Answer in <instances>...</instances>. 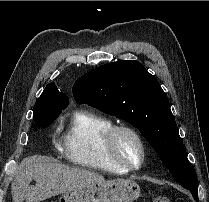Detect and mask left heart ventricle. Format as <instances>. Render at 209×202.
I'll use <instances>...</instances> for the list:
<instances>
[{"label": "left heart ventricle", "mask_w": 209, "mask_h": 202, "mask_svg": "<svg viewBox=\"0 0 209 202\" xmlns=\"http://www.w3.org/2000/svg\"><path fill=\"white\" fill-rule=\"evenodd\" d=\"M116 150L125 160L132 163H138L141 157V151L138 142L133 136L127 133H121L116 139Z\"/></svg>", "instance_id": "left-heart-ventricle-1"}]
</instances>
